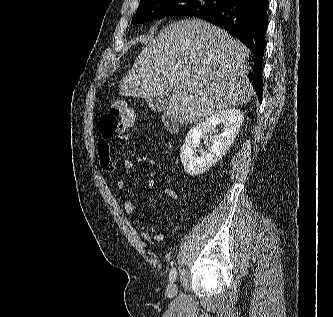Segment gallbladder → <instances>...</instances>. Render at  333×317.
Wrapping results in <instances>:
<instances>
[{"label":"gallbladder","mask_w":333,"mask_h":317,"mask_svg":"<svg viewBox=\"0 0 333 317\" xmlns=\"http://www.w3.org/2000/svg\"><path fill=\"white\" fill-rule=\"evenodd\" d=\"M146 103L152 111L162 112L168 106L169 97L168 96H156L153 98L146 99Z\"/></svg>","instance_id":"obj_1"}]
</instances>
